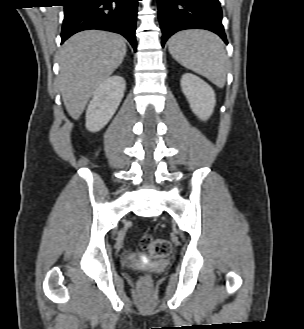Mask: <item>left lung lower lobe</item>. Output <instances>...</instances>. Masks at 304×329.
<instances>
[{"label": "left lung lower lobe", "mask_w": 304, "mask_h": 329, "mask_svg": "<svg viewBox=\"0 0 304 329\" xmlns=\"http://www.w3.org/2000/svg\"><path fill=\"white\" fill-rule=\"evenodd\" d=\"M162 47L177 31L200 28L219 35L227 44L218 0H158Z\"/></svg>", "instance_id": "1"}]
</instances>
